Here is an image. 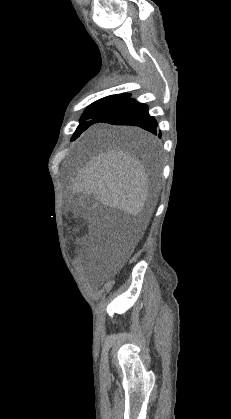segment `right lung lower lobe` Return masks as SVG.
Returning a JSON list of instances; mask_svg holds the SVG:
<instances>
[{"mask_svg":"<svg viewBox=\"0 0 231 419\" xmlns=\"http://www.w3.org/2000/svg\"><path fill=\"white\" fill-rule=\"evenodd\" d=\"M97 122L134 125L157 135V121L149 115L147 105L132 98L101 115ZM158 136L161 137V132Z\"/></svg>","mask_w":231,"mask_h":419,"instance_id":"right-lung-lower-lobe-1","label":"right lung lower lobe"}]
</instances>
